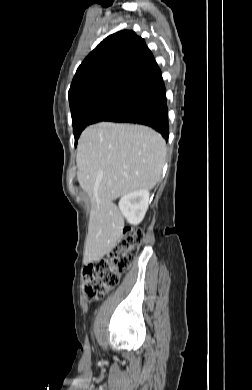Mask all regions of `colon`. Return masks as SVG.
I'll list each match as a JSON object with an SVG mask.
<instances>
[{
    "instance_id": "colon-1",
    "label": "colon",
    "mask_w": 252,
    "mask_h": 390,
    "mask_svg": "<svg viewBox=\"0 0 252 390\" xmlns=\"http://www.w3.org/2000/svg\"><path fill=\"white\" fill-rule=\"evenodd\" d=\"M143 240L139 229L125 233L106 258L88 264L84 269V289L89 301H96L119 283L120 274L134 262Z\"/></svg>"
}]
</instances>
